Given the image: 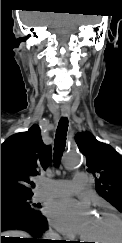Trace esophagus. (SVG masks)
<instances>
[{
    "label": "esophagus",
    "instance_id": "esophagus-1",
    "mask_svg": "<svg viewBox=\"0 0 122 243\" xmlns=\"http://www.w3.org/2000/svg\"><path fill=\"white\" fill-rule=\"evenodd\" d=\"M61 112H62V115L64 117H67L69 115V113H70L69 110H67V109H62Z\"/></svg>",
    "mask_w": 122,
    "mask_h": 243
}]
</instances>
